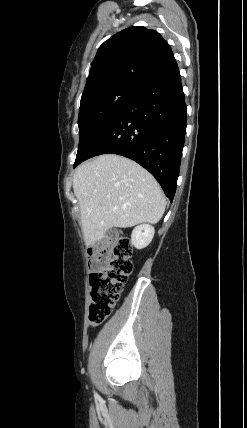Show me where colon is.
<instances>
[{"mask_svg": "<svg viewBox=\"0 0 247 428\" xmlns=\"http://www.w3.org/2000/svg\"><path fill=\"white\" fill-rule=\"evenodd\" d=\"M130 241L117 235L94 253L96 271L90 277L91 304L89 320L100 324L107 319L118 301L128 276L133 270Z\"/></svg>", "mask_w": 247, "mask_h": 428, "instance_id": "colon-1", "label": "colon"}]
</instances>
